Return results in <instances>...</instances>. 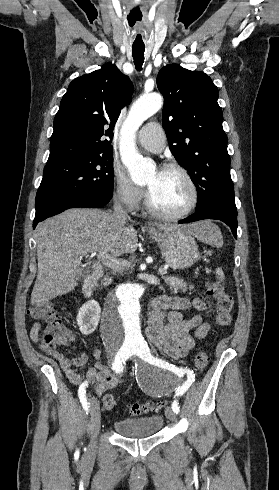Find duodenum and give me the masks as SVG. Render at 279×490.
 Returning <instances> with one entry per match:
<instances>
[{
    "mask_svg": "<svg viewBox=\"0 0 279 490\" xmlns=\"http://www.w3.org/2000/svg\"><path fill=\"white\" fill-rule=\"evenodd\" d=\"M103 274V268L100 264H94L92 273L85 279L83 284V293L85 297L91 298L95 292L97 283Z\"/></svg>",
    "mask_w": 279,
    "mask_h": 490,
    "instance_id": "duodenum-1",
    "label": "duodenum"
}]
</instances>
